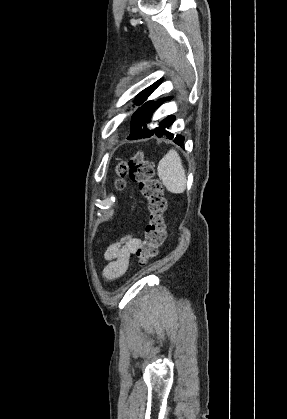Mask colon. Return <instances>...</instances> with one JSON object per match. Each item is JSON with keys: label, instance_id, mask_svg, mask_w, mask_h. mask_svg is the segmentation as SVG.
<instances>
[{"label": "colon", "instance_id": "1", "mask_svg": "<svg viewBox=\"0 0 287 419\" xmlns=\"http://www.w3.org/2000/svg\"><path fill=\"white\" fill-rule=\"evenodd\" d=\"M116 185L122 189L124 178L129 174L131 180L138 184L140 192L147 201L149 219L145 226L144 240L136 250L139 264L144 265L154 259L165 239L163 214L166 210V200L163 188L154 178V167L141 151L120 160L115 166Z\"/></svg>", "mask_w": 287, "mask_h": 419}]
</instances>
